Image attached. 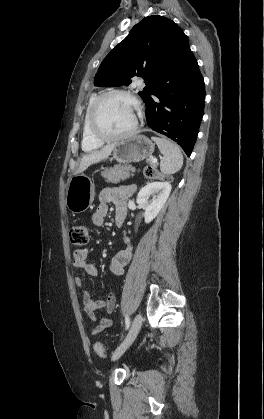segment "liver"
Wrapping results in <instances>:
<instances>
[{
	"instance_id": "liver-1",
	"label": "liver",
	"mask_w": 264,
	"mask_h": 419,
	"mask_svg": "<svg viewBox=\"0 0 264 419\" xmlns=\"http://www.w3.org/2000/svg\"><path fill=\"white\" fill-rule=\"evenodd\" d=\"M115 148V144H109L104 146L101 150L92 151L89 154H85L80 161L79 168L75 171V175L84 172L91 164L100 162L111 155Z\"/></svg>"
}]
</instances>
